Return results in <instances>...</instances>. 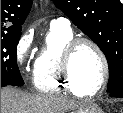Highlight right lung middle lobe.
<instances>
[{
    "instance_id": "1",
    "label": "right lung middle lobe",
    "mask_w": 123,
    "mask_h": 113,
    "mask_svg": "<svg viewBox=\"0 0 123 113\" xmlns=\"http://www.w3.org/2000/svg\"><path fill=\"white\" fill-rule=\"evenodd\" d=\"M20 35L1 36V87L24 84L16 63V48Z\"/></svg>"
}]
</instances>
